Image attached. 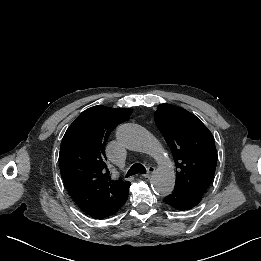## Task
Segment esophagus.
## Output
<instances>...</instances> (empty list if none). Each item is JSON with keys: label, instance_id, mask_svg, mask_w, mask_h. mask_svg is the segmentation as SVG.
I'll list each match as a JSON object with an SVG mask.
<instances>
[{"label": "esophagus", "instance_id": "1", "mask_svg": "<svg viewBox=\"0 0 261 261\" xmlns=\"http://www.w3.org/2000/svg\"><path fill=\"white\" fill-rule=\"evenodd\" d=\"M147 171L148 172L146 174H142L144 178H149L154 173L155 168L153 166H148Z\"/></svg>", "mask_w": 261, "mask_h": 261}]
</instances>
